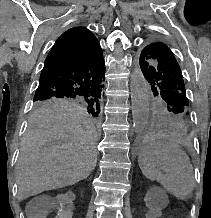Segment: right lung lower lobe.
Returning a JSON list of instances; mask_svg holds the SVG:
<instances>
[{
	"label": "right lung lower lobe",
	"instance_id": "right-lung-lower-lobe-1",
	"mask_svg": "<svg viewBox=\"0 0 211 218\" xmlns=\"http://www.w3.org/2000/svg\"><path fill=\"white\" fill-rule=\"evenodd\" d=\"M105 64L103 55L69 64L40 76L34 98L66 97L102 99Z\"/></svg>",
	"mask_w": 211,
	"mask_h": 218
}]
</instances>
